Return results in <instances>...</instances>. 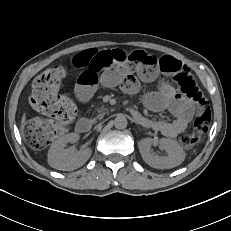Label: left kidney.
<instances>
[{"label":"left kidney","instance_id":"left-kidney-1","mask_svg":"<svg viewBox=\"0 0 231 231\" xmlns=\"http://www.w3.org/2000/svg\"><path fill=\"white\" fill-rule=\"evenodd\" d=\"M154 143L152 138H144L138 142L141 156L149 166L157 169H170L184 161L185 152L176 141L169 138L160 140V146L167 152V156L164 157L151 153V146Z\"/></svg>","mask_w":231,"mask_h":231}]
</instances>
